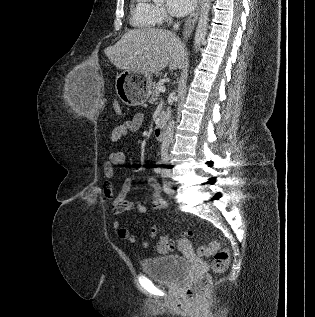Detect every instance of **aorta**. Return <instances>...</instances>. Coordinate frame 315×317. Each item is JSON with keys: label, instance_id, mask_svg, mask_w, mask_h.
I'll use <instances>...</instances> for the list:
<instances>
[{"label": "aorta", "instance_id": "aorta-1", "mask_svg": "<svg viewBox=\"0 0 315 317\" xmlns=\"http://www.w3.org/2000/svg\"><path fill=\"white\" fill-rule=\"evenodd\" d=\"M154 2H161L163 0H153ZM211 0H202L201 12L198 19V24L194 37V48L196 51L200 48L203 39L207 32L208 16L210 10Z\"/></svg>", "mask_w": 315, "mask_h": 317}]
</instances>
